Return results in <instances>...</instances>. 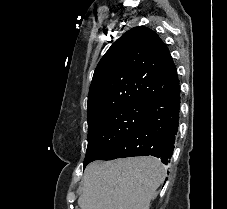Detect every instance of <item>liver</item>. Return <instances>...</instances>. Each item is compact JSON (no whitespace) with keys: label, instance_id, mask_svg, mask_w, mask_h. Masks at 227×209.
I'll return each instance as SVG.
<instances>
[{"label":"liver","instance_id":"6515ba94","mask_svg":"<svg viewBox=\"0 0 227 209\" xmlns=\"http://www.w3.org/2000/svg\"><path fill=\"white\" fill-rule=\"evenodd\" d=\"M164 165L155 157L93 161L83 175L80 209H149Z\"/></svg>","mask_w":227,"mask_h":209}]
</instances>
